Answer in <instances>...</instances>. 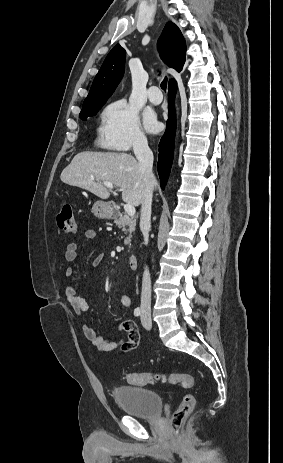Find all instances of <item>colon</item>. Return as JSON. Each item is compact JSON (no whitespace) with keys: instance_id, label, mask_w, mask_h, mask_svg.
Instances as JSON below:
<instances>
[{"instance_id":"5ec220e1","label":"colon","mask_w":283,"mask_h":463,"mask_svg":"<svg viewBox=\"0 0 283 463\" xmlns=\"http://www.w3.org/2000/svg\"><path fill=\"white\" fill-rule=\"evenodd\" d=\"M58 227L65 233H74L77 230L75 215L71 204L63 203L57 214ZM127 382L137 386L148 385L154 382H168L177 384L184 389L193 385V377L185 373L170 372H128L125 374ZM195 398L191 394H185L179 406L172 415L171 424L173 434L179 437L182 433V427L193 410Z\"/></svg>"}]
</instances>
